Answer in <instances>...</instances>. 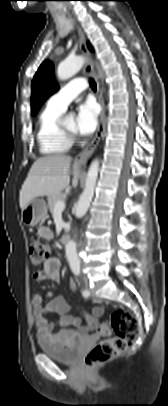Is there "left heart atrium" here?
Returning a JSON list of instances; mask_svg holds the SVG:
<instances>
[{"label":"left heart atrium","instance_id":"39dd6f15","mask_svg":"<svg viewBox=\"0 0 168 406\" xmlns=\"http://www.w3.org/2000/svg\"><path fill=\"white\" fill-rule=\"evenodd\" d=\"M98 113L96 106L91 102L82 103L77 108L75 119V130L83 135H91L98 124Z\"/></svg>","mask_w":168,"mask_h":406}]
</instances>
